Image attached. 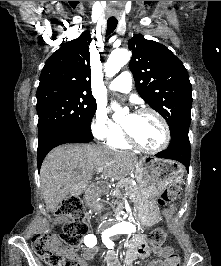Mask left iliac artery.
Returning <instances> with one entry per match:
<instances>
[{
	"label": "left iliac artery",
	"instance_id": "1",
	"mask_svg": "<svg viewBox=\"0 0 221 266\" xmlns=\"http://www.w3.org/2000/svg\"><path fill=\"white\" fill-rule=\"evenodd\" d=\"M116 233L114 232H105L102 235V242L106 245L107 248L109 249H113L114 247V243L112 242V240L109 239V236H113Z\"/></svg>",
	"mask_w": 221,
	"mask_h": 266
}]
</instances>
